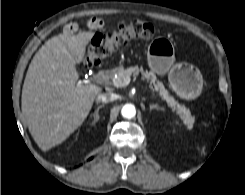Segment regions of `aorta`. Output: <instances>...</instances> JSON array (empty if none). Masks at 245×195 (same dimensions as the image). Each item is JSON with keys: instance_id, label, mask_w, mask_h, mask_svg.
Wrapping results in <instances>:
<instances>
[{"instance_id": "aorta-1", "label": "aorta", "mask_w": 245, "mask_h": 195, "mask_svg": "<svg viewBox=\"0 0 245 195\" xmlns=\"http://www.w3.org/2000/svg\"><path fill=\"white\" fill-rule=\"evenodd\" d=\"M121 114L123 117L128 118V119L133 118L136 114L135 106L132 104L124 105L121 110Z\"/></svg>"}]
</instances>
